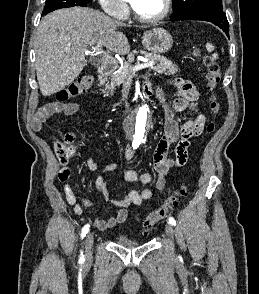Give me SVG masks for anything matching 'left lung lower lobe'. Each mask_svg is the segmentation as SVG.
I'll return each mask as SVG.
<instances>
[{
	"instance_id": "1",
	"label": "left lung lower lobe",
	"mask_w": 259,
	"mask_h": 294,
	"mask_svg": "<svg viewBox=\"0 0 259 294\" xmlns=\"http://www.w3.org/2000/svg\"><path fill=\"white\" fill-rule=\"evenodd\" d=\"M172 21L178 20H202L211 22L220 27L229 37V23L226 14L223 11L200 10L187 15L171 17Z\"/></svg>"
}]
</instances>
